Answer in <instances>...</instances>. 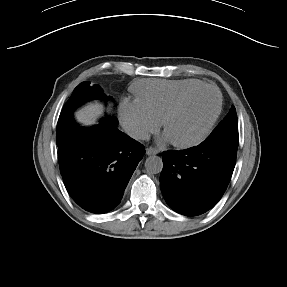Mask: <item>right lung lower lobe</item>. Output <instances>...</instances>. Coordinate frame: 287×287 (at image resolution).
Wrapping results in <instances>:
<instances>
[{
  "instance_id": "obj_1",
  "label": "right lung lower lobe",
  "mask_w": 287,
  "mask_h": 287,
  "mask_svg": "<svg viewBox=\"0 0 287 287\" xmlns=\"http://www.w3.org/2000/svg\"><path fill=\"white\" fill-rule=\"evenodd\" d=\"M144 146L102 122L76 128L58 151L60 172L73 200L92 213H106L120 202Z\"/></svg>"
}]
</instances>
